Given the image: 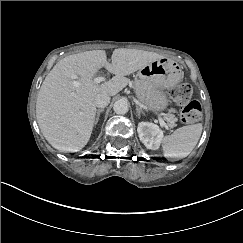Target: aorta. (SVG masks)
<instances>
[{
  "mask_svg": "<svg viewBox=\"0 0 243 243\" xmlns=\"http://www.w3.org/2000/svg\"><path fill=\"white\" fill-rule=\"evenodd\" d=\"M128 108L127 101L122 99L117 100L113 106L114 112L117 114H126L128 112Z\"/></svg>",
  "mask_w": 243,
  "mask_h": 243,
  "instance_id": "obj_1",
  "label": "aorta"
}]
</instances>
